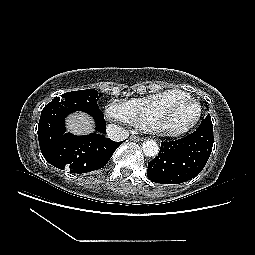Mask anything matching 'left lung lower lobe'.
Instances as JSON below:
<instances>
[{
	"label": "left lung lower lobe",
	"mask_w": 255,
	"mask_h": 255,
	"mask_svg": "<svg viewBox=\"0 0 255 255\" xmlns=\"http://www.w3.org/2000/svg\"><path fill=\"white\" fill-rule=\"evenodd\" d=\"M213 142V126L208 114L193 133L161 143L159 154L148 163V178L160 184H180L194 178L206 165Z\"/></svg>",
	"instance_id": "0a47b994"
}]
</instances>
